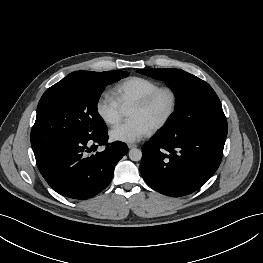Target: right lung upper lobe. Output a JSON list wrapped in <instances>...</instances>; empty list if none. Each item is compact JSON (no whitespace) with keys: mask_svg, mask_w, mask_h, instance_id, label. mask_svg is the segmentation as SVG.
<instances>
[{"mask_svg":"<svg viewBox=\"0 0 263 263\" xmlns=\"http://www.w3.org/2000/svg\"><path fill=\"white\" fill-rule=\"evenodd\" d=\"M87 71H76V72H72L69 75L71 76H78V75H82L85 74Z\"/></svg>","mask_w":263,"mask_h":263,"instance_id":"1","label":"right lung upper lobe"}]
</instances>
